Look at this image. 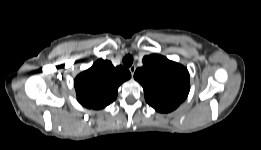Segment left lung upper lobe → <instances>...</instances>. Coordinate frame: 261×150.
Segmentation results:
<instances>
[{
	"instance_id": "left-lung-upper-lobe-1",
	"label": "left lung upper lobe",
	"mask_w": 261,
	"mask_h": 150,
	"mask_svg": "<svg viewBox=\"0 0 261 150\" xmlns=\"http://www.w3.org/2000/svg\"><path fill=\"white\" fill-rule=\"evenodd\" d=\"M142 62L134 78L142 85L146 102L161 113L176 109L189 93L187 68L157 54L145 56Z\"/></svg>"
}]
</instances>
